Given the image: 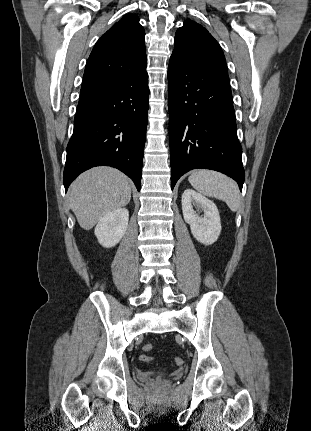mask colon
Returning <instances> with one entry per match:
<instances>
[{"label": "colon", "instance_id": "obj_1", "mask_svg": "<svg viewBox=\"0 0 311 431\" xmlns=\"http://www.w3.org/2000/svg\"><path fill=\"white\" fill-rule=\"evenodd\" d=\"M152 349H153V345L152 344H145L143 346V350L146 351V352L151 351ZM139 359L142 362H150V361L153 360L152 357H150L148 355H145V354L141 355L139 357ZM174 363L176 365L180 366V365H182L184 363V359L182 357H176V358H174Z\"/></svg>", "mask_w": 311, "mask_h": 431}]
</instances>
